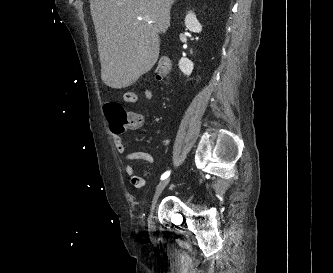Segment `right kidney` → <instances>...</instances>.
<instances>
[{"label": "right kidney", "instance_id": "right-kidney-1", "mask_svg": "<svg viewBox=\"0 0 333 273\" xmlns=\"http://www.w3.org/2000/svg\"><path fill=\"white\" fill-rule=\"evenodd\" d=\"M185 26L186 28L195 33H199L202 30L201 24L198 22L194 13L189 12L185 17ZM194 64L191 60L187 58H181L179 61V68L183 74L189 76L193 71Z\"/></svg>", "mask_w": 333, "mask_h": 273}]
</instances>
